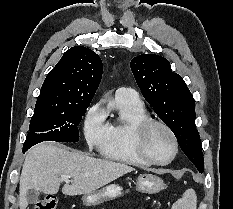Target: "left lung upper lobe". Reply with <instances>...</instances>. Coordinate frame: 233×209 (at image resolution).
I'll list each match as a JSON object with an SVG mask.
<instances>
[{"instance_id": "1", "label": "left lung upper lobe", "mask_w": 233, "mask_h": 209, "mask_svg": "<svg viewBox=\"0 0 233 209\" xmlns=\"http://www.w3.org/2000/svg\"><path fill=\"white\" fill-rule=\"evenodd\" d=\"M131 69L147 102L175 134L185 155L200 173L204 159L195 126V100L180 75L162 56L143 54L132 59Z\"/></svg>"}]
</instances>
